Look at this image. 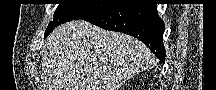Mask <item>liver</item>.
<instances>
[{
	"label": "liver",
	"instance_id": "obj_1",
	"mask_svg": "<svg viewBox=\"0 0 216 90\" xmlns=\"http://www.w3.org/2000/svg\"><path fill=\"white\" fill-rule=\"evenodd\" d=\"M44 48L42 70L49 90H120L152 58L137 38L84 20L56 28Z\"/></svg>",
	"mask_w": 216,
	"mask_h": 90
}]
</instances>
